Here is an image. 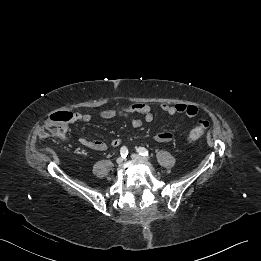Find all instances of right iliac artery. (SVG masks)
Here are the masks:
<instances>
[{
    "label": "right iliac artery",
    "mask_w": 261,
    "mask_h": 261,
    "mask_svg": "<svg viewBox=\"0 0 261 261\" xmlns=\"http://www.w3.org/2000/svg\"><path fill=\"white\" fill-rule=\"evenodd\" d=\"M120 154L123 158H126V156L128 155V149L125 146L121 147Z\"/></svg>",
    "instance_id": "1"
}]
</instances>
